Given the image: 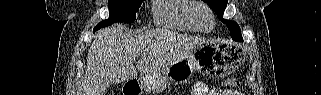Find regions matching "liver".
<instances>
[{"mask_svg": "<svg viewBox=\"0 0 321 95\" xmlns=\"http://www.w3.org/2000/svg\"><path fill=\"white\" fill-rule=\"evenodd\" d=\"M177 41L172 51L168 40ZM206 40L176 35L166 30L131 34L121 24L102 29L90 45L87 66L77 95H103L112 83L150 75L196 49ZM139 57L137 66L134 60Z\"/></svg>", "mask_w": 321, "mask_h": 95, "instance_id": "1", "label": "liver"}]
</instances>
